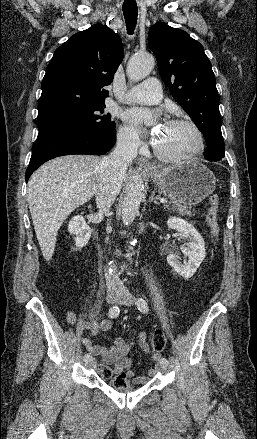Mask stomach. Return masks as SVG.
Here are the masks:
<instances>
[{"instance_id":"0dacf381","label":"stomach","mask_w":257,"mask_h":439,"mask_svg":"<svg viewBox=\"0 0 257 439\" xmlns=\"http://www.w3.org/2000/svg\"><path fill=\"white\" fill-rule=\"evenodd\" d=\"M148 175L165 196L188 206L202 202L216 186L213 172L197 161L166 166Z\"/></svg>"}]
</instances>
